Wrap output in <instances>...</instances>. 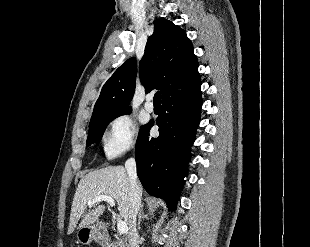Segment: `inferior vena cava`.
<instances>
[{
    "mask_svg": "<svg viewBox=\"0 0 310 247\" xmlns=\"http://www.w3.org/2000/svg\"><path fill=\"white\" fill-rule=\"evenodd\" d=\"M125 168L130 182V214H129V245L139 247V234L136 229V217L141 207L142 190L137 177L135 158H129L125 162Z\"/></svg>",
    "mask_w": 310,
    "mask_h": 247,
    "instance_id": "inferior-vena-cava-1",
    "label": "inferior vena cava"
}]
</instances>
